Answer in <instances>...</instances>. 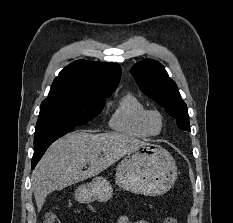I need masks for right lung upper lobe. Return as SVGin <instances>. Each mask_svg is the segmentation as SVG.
I'll use <instances>...</instances> for the list:
<instances>
[{"mask_svg": "<svg viewBox=\"0 0 233 223\" xmlns=\"http://www.w3.org/2000/svg\"><path fill=\"white\" fill-rule=\"evenodd\" d=\"M121 76L118 64L75 61L55 78L48 97H71L105 101L116 89Z\"/></svg>", "mask_w": 233, "mask_h": 223, "instance_id": "right-lung-upper-lobe-1", "label": "right lung upper lobe"}]
</instances>
